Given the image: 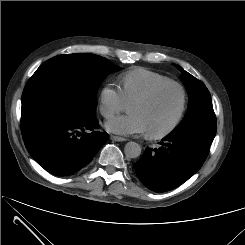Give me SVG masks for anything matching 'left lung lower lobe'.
Returning <instances> with one entry per match:
<instances>
[{"label":"left lung lower lobe","mask_w":245,"mask_h":245,"mask_svg":"<svg viewBox=\"0 0 245 245\" xmlns=\"http://www.w3.org/2000/svg\"><path fill=\"white\" fill-rule=\"evenodd\" d=\"M158 149L146 148L135 171L144 186L157 193L176 188L193 176L206 160L210 145L190 136L167 135Z\"/></svg>","instance_id":"0a47b994"}]
</instances>
